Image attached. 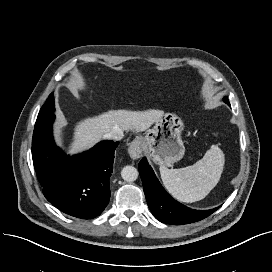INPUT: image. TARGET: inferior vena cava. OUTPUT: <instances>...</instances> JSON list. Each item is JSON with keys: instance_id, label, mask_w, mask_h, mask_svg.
<instances>
[{"instance_id": "inferior-vena-cava-1", "label": "inferior vena cava", "mask_w": 272, "mask_h": 272, "mask_svg": "<svg viewBox=\"0 0 272 272\" xmlns=\"http://www.w3.org/2000/svg\"><path fill=\"white\" fill-rule=\"evenodd\" d=\"M123 130L119 127H114L109 133L105 135L106 139L119 141L123 138Z\"/></svg>"}]
</instances>
